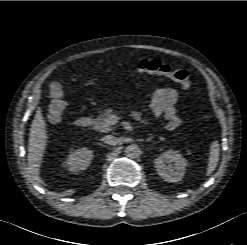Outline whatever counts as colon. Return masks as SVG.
<instances>
[{
  "label": "colon",
  "instance_id": "1",
  "mask_svg": "<svg viewBox=\"0 0 247 245\" xmlns=\"http://www.w3.org/2000/svg\"><path fill=\"white\" fill-rule=\"evenodd\" d=\"M133 69L139 74L165 76L178 83L183 90H188L191 85L188 70L183 68L174 69L158 59H141L135 63ZM50 97L48 119L56 123L61 120L66 107L64 90L60 84L54 83L50 86ZM182 125L183 120L178 115L167 120V128L169 130L179 129Z\"/></svg>",
  "mask_w": 247,
  "mask_h": 245
}]
</instances>
